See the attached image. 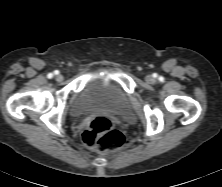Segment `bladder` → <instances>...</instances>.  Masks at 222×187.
Segmentation results:
<instances>
[{"label":"bladder","instance_id":"obj_1","mask_svg":"<svg viewBox=\"0 0 222 187\" xmlns=\"http://www.w3.org/2000/svg\"><path fill=\"white\" fill-rule=\"evenodd\" d=\"M100 110L127 117L131 113L130 99L118 84L103 79H90L78 92L70 113L73 117H82Z\"/></svg>","mask_w":222,"mask_h":187}]
</instances>
